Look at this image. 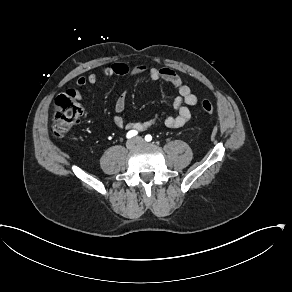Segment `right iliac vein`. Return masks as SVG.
I'll list each match as a JSON object with an SVG mask.
<instances>
[{
  "mask_svg": "<svg viewBox=\"0 0 292 292\" xmlns=\"http://www.w3.org/2000/svg\"><path fill=\"white\" fill-rule=\"evenodd\" d=\"M136 144H138V142H137L136 138H133V139H130L127 141L126 147H127V149H133Z\"/></svg>",
  "mask_w": 292,
  "mask_h": 292,
  "instance_id": "right-iliac-vein-1",
  "label": "right iliac vein"
}]
</instances>
